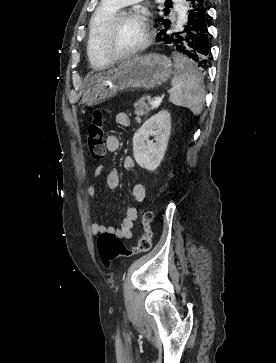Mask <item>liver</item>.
Returning <instances> with one entry per match:
<instances>
[{"instance_id":"liver-1","label":"liver","mask_w":276,"mask_h":363,"mask_svg":"<svg viewBox=\"0 0 276 363\" xmlns=\"http://www.w3.org/2000/svg\"><path fill=\"white\" fill-rule=\"evenodd\" d=\"M102 73H99V74H96V75H94V76H92L91 78H90V80H93V79H95L96 77H98L99 75H101Z\"/></svg>"}]
</instances>
